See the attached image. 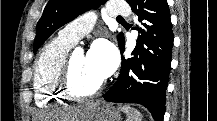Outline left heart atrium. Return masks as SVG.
<instances>
[{"instance_id":"obj_1","label":"left heart atrium","mask_w":217,"mask_h":121,"mask_svg":"<svg viewBox=\"0 0 217 121\" xmlns=\"http://www.w3.org/2000/svg\"><path fill=\"white\" fill-rule=\"evenodd\" d=\"M86 57L102 80L115 70L118 62L115 48L106 41L94 43Z\"/></svg>"}]
</instances>
